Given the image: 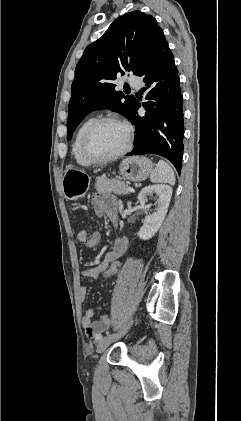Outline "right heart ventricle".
<instances>
[{"label":"right heart ventricle","mask_w":241,"mask_h":421,"mask_svg":"<svg viewBox=\"0 0 241 421\" xmlns=\"http://www.w3.org/2000/svg\"><path fill=\"white\" fill-rule=\"evenodd\" d=\"M94 118L86 119L77 129L73 142H72V154L75 161L81 166H89L92 164L81 151V139L86 128L94 121Z\"/></svg>","instance_id":"e07e8e85"}]
</instances>
